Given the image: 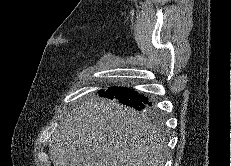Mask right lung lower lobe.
Here are the masks:
<instances>
[{
    "instance_id": "1",
    "label": "right lung lower lobe",
    "mask_w": 231,
    "mask_h": 166,
    "mask_svg": "<svg viewBox=\"0 0 231 166\" xmlns=\"http://www.w3.org/2000/svg\"><path fill=\"white\" fill-rule=\"evenodd\" d=\"M98 93L102 97L118 100L120 103L137 110H149L152 106L148 97L138 93L133 88L110 87L107 91L99 90Z\"/></svg>"
}]
</instances>
